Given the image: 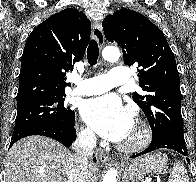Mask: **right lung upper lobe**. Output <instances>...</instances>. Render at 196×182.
I'll use <instances>...</instances> for the list:
<instances>
[{
    "mask_svg": "<svg viewBox=\"0 0 196 182\" xmlns=\"http://www.w3.org/2000/svg\"><path fill=\"white\" fill-rule=\"evenodd\" d=\"M91 33L86 15L62 10L29 35L21 59L17 104L65 95L66 72L84 56Z\"/></svg>",
    "mask_w": 196,
    "mask_h": 182,
    "instance_id": "right-lung-upper-lobe-1",
    "label": "right lung upper lobe"
}]
</instances>
